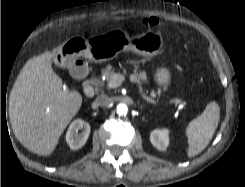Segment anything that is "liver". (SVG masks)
<instances>
[{
  "instance_id": "6515ba94",
  "label": "liver",
  "mask_w": 245,
  "mask_h": 187,
  "mask_svg": "<svg viewBox=\"0 0 245 187\" xmlns=\"http://www.w3.org/2000/svg\"><path fill=\"white\" fill-rule=\"evenodd\" d=\"M53 52L29 59L9 97V117L17 140L29 151L50 155L79 111L82 96L65 89L52 68Z\"/></svg>"
}]
</instances>
